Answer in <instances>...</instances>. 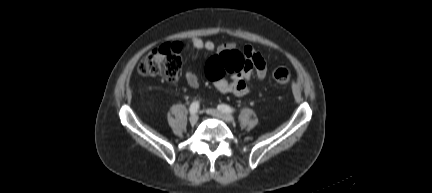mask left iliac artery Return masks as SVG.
Returning a JSON list of instances; mask_svg holds the SVG:
<instances>
[{"mask_svg": "<svg viewBox=\"0 0 432 193\" xmlns=\"http://www.w3.org/2000/svg\"><path fill=\"white\" fill-rule=\"evenodd\" d=\"M218 109L226 113H233L235 111L232 107L226 104L218 105Z\"/></svg>", "mask_w": 432, "mask_h": 193, "instance_id": "1", "label": "left iliac artery"}]
</instances>
